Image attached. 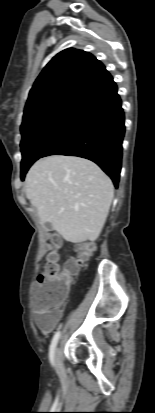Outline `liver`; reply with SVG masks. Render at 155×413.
<instances>
[{
  "instance_id": "obj_1",
  "label": "liver",
  "mask_w": 155,
  "mask_h": 413,
  "mask_svg": "<svg viewBox=\"0 0 155 413\" xmlns=\"http://www.w3.org/2000/svg\"><path fill=\"white\" fill-rule=\"evenodd\" d=\"M26 197L41 223L65 240L95 241L114 197L110 178L90 160L53 155L39 159L26 176Z\"/></svg>"
}]
</instances>
